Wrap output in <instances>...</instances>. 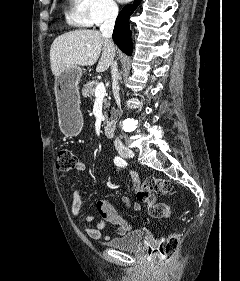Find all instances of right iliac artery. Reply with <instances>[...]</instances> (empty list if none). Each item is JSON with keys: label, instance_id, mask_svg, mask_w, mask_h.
Returning a JSON list of instances; mask_svg holds the SVG:
<instances>
[{"label": "right iliac artery", "instance_id": "82829eb1", "mask_svg": "<svg viewBox=\"0 0 240 281\" xmlns=\"http://www.w3.org/2000/svg\"><path fill=\"white\" fill-rule=\"evenodd\" d=\"M114 163H115L117 166H120V167H124V166L127 165V162H126L123 158H121V157H119V156H116V157L114 158Z\"/></svg>", "mask_w": 240, "mask_h": 281}]
</instances>
